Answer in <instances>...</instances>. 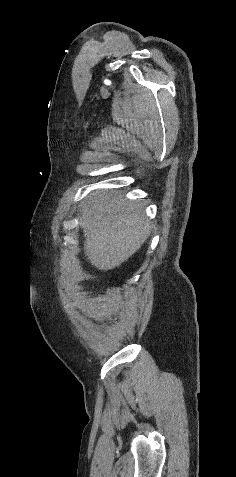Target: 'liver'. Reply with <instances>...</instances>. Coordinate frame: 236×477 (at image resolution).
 I'll use <instances>...</instances> for the list:
<instances>
[{"mask_svg":"<svg viewBox=\"0 0 236 477\" xmlns=\"http://www.w3.org/2000/svg\"><path fill=\"white\" fill-rule=\"evenodd\" d=\"M140 202L124 200L118 192H98L81 209L84 252L99 270L120 266L150 236V223Z\"/></svg>","mask_w":236,"mask_h":477,"instance_id":"obj_1","label":"liver"}]
</instances>
